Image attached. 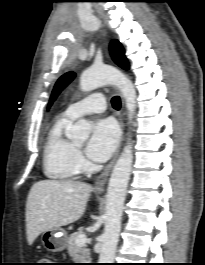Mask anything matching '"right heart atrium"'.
<instances>
[{
    "mask_svg": "<svg viewBox=\"0 0 205 265\" xmlns=\"http://www.w3.org/2000/svg\"><path fill=\"white\" fill-rule=\"evenodd\" d=\"M77 165L81 166L84 163V159L79 151L76 152Z\"/></svg>",
    "mask_w": 205,
    "mask_h": 265,
    "instance_id": "obj_1",
    "label": "right heart atrium"
}]
</instances>
